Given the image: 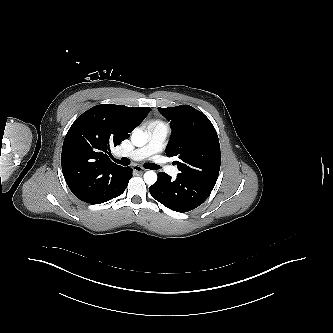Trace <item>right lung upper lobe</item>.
Here are the masks:
<instances>
[{
    "label": "right lung upper lobe",
    "mask_w": 333,
    "mask_h": 333,
    "mask_svg": "<svg viewBox=\"0 0 333 333\" xmlns=\"http://www.w3.org/2000/svg\"><path fill=\"white\" fill-rule=\"evenodd\" d=\"M149 107L96 105L79 116L67 132L61 154L62 172L80 200L123 168L113 163L110 147L129 137L149 113Z\"/></svg>",
    "instance_id": "1"
}]
</instances>
